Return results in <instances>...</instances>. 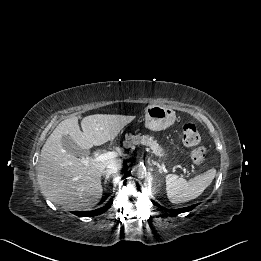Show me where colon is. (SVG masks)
<instances>
[{
    "label": "colon",
    "mask_w": 261,
    "mask_h": 261,
    "mask_svg": "<svg viewBox=\"0 0 261 261\" xmlns=\"http://www.w3.org/2000/svg\"><path fill=\"white\" fill-rule=\"evenodd\" d=\"M183 142L192 148L191 160L195 164H201L206 158V150L200 144V133L198 128L193 123H187L183 126Z\"/></svg>",
    "instance_id": "colon-1"
}]
</instances>
